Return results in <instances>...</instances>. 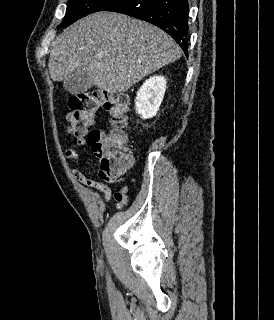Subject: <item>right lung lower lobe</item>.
<instances>
[{
    "label": "right lung lower lobe",
    "mask_w": 274,
    "mask_h": 320,
    "mask_svg": "<svg viewBox=\"0 0 274 320\" xmlns=\"http://www.w3.org/2000/svg\"><path fill=\"white\" fill-rule=\"evenodd\" d=\"M102 11L123 13L154 24L173 37L188 54L187 0H115Z\"/></svg>",
    "instance_id": "1"
}]
</instances>
